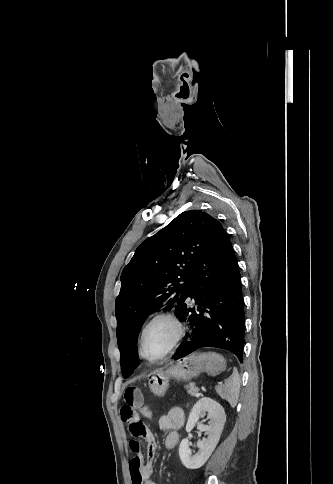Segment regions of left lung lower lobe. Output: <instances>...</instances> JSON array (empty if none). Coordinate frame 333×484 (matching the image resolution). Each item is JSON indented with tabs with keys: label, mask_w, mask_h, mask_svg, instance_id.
<instances>
[{
	"label": "left lung lower lobe",
	"mask_w": 333,
	"mask_h": 484,
	"mask_svg": "<svg viewBox=\"0 0 333 484\" xmlns=\"http://www.w3.org/2000/svg\"><path fill=\"white\" fill-rule=\"evenodd\" d=\"M187 282L191 285L187 302L177 305L176 315L188 321L192 332L178 347L173 359L184 357L200 347H216L243 360L245 313L241 277L230 239L214 219L193 259Z\"/></svg>",
	"instance_id": "obj_1"
}]
</instances>
